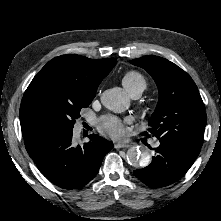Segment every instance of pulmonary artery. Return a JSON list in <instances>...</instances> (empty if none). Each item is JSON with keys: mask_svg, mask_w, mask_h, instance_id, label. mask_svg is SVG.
I'll use <instances>...</instances> for the list:
<instances>
[{"mask_svg": "<svg viewBox=\"0 0 221 221\" xmlns=\"http://www.w3.org/2000/svg\"><path fill=\"white\" fill-rule=\"evenodd\" d=\"M142 92H143L142 90L136 89V90L131 91L129 94H130L131 98L137 99L141 96ZM153 145L155 147H158L160 145V142L158 140H156V141H154Z\"/></svg>", "mask_w": 221, "mask_h": 221, "instance_id": "1", "label": "pulmonary artery"}]
</instances>
